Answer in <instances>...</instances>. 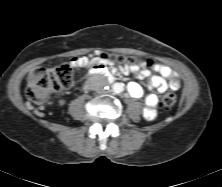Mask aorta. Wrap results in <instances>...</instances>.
Wrapping results in <instances>:
<instances>
[{
  "label": "aorta",
  "mask_w": 222,
  "mask_h": 187,
  "mask_svg": "<svg viewBox=\"0 0 222 187\" xmlns=\"http://www.w3.org/2000/svg\"><path fill=\"white\" fill-rule=\"evenodd\" d=\"M124 90V86L122 83H115L113 84V91L115 93H121Z\"/></svg>",
  "instance_id": "obj_1"
}]
</instances>
